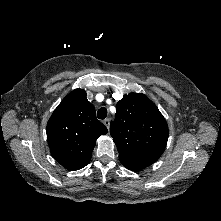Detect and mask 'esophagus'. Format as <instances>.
Segmentation results:
<instances>
[{"mask_svg":"<svg viewBox=\"0 0 221 221\" xmlns=\"http://www.w3.org/2000/svg\"><path fill=\"white\" fill-rule=\"evenodd\" d=\"M104 125L109 128L110 126V119L109 118H106L104 121H103Z\"/></svg>","mask_w":221,"mask_h":221,"instance_id":"esophagus-1","label":"esophagus"}]
</instances>
